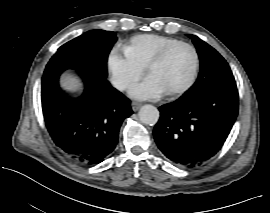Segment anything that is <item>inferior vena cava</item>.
<instances>
[{"mask_svg": "<svg viewBox=\"0 0 270 213\" xmlns=\"http://www.w3.org/2000/svg\"><path fill=\"white\" fill-rule=\"evenodd\" d=\"M114 86L118 89V90H124L127 87V83L124 81H117L114 83Z\"/></svg>", "mask_w": 270, "mask_h": 213, "instance_id": "inferior-vena-cava-1", "label": "inferior vena cava"}]
</instances>
